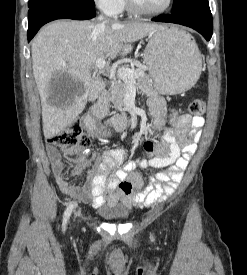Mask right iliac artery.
<instances>
[{"mask_svg":"<svg viewBox=\"0 0 247 275\" xmlns=\"http://www.w3.org/2000/svg\"><path fill=\"white\" fill-rule=\"evenodd\" d=\"M74 206H75V203H70L67 206V208H66V210L64 212V216H63V229H65L66 223H67V221H68V219H69V217L71 215V212H72Z\"/></svg>","mask_w":247,"mask_h":275,"instance_id":"82829eb1","label":"right iliac artery"}]
</instances>
